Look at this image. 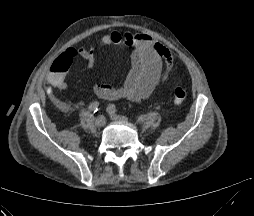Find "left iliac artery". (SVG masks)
I'll return each instance as SVG.
<instances>
[{"mask_svg": "<svg viewBox=\"0 0 254 216\" xmlns=\"http://www.w3.org/2000/svg\"><path fill=\"white\" fill-rule=\"evenodd\" d=\"M107 111L115 113L117 111V108L114 104H109L107 107Z\"/></svg>", "mask_w": 254, "mask_h": 216, "instance_id": "left-iliac-artery-1", "label": "left iliac artery"}]
</instances>
